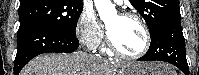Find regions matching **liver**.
Here are the masks:
<instances>
[{
  "label": "liver",
  "mask_w": 199,
  "mask_h": 75,
  "mask_svg": "<svg viewBox=\"0 0 199 75\" xmlns=\"http://www.w3.org/2000/svg\"><path fill=\"white\" fill-rule=\"evenodd\" d=\"M126 66L107 62L82 51L72 54L52 53L34 58L20 75H119ZM170 73L176 75L175 72Z\"/></svg>",
  "instance_id": "liver-1"
}]
</instances>
